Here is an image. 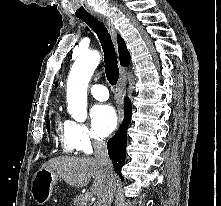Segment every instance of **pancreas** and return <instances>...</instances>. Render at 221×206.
<instances>
[{"mask_svg":"<svg viewBox=\"0 0 221 206\" xmlns=\"http://www.w3.org/2000/svg\"><path fill=\"white\" fill-rule=\"evenodd\" d=\"M73 202L75 206H90L89 200L85 198V195L81 194L74 197Z\"/></svg>","mask_w":221,"mask_h":206,"instance_id":"cf45deb5","label":"pancreas"}]
</instances>
